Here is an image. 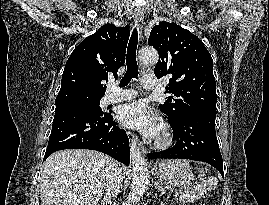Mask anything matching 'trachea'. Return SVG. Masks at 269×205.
<instances>
[{"mask_svg": "<svg viewBox=\"0 0 269 205\" xmlns=\"http://www.w3.org/2000/svg\"><path fill=\"white\" fill-rule=\"evenodd\" d=\"M138 44V33L137 30L134 29L132 32L126 55V65L127 71L124 77L121 79L119 86L125 87L131 81L132 78H138V65L136 61V50Z\"/></svg>", "mask_w": 269, "mask_h": 205, "instance_id": "1", "label": "trachea"}]
</instances>
